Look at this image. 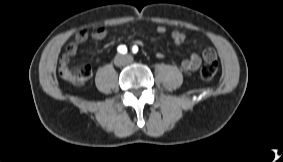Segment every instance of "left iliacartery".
Masks as SVG:
<instances>
[{"instance_id":"1","label":"left iliac artery","mask_w":283,"mask_h":162,"mask_svg":"<svg viewBox=\"0 0 283 162\" xmlns=\"http://www.w3.org/2000/svg\"><path fill=\"white\" fill-rule=\"evenodd\" d=\"M132 52H133V53H137V52H138V47H137V46H133Z\"/></svg>"}]
</instances>
